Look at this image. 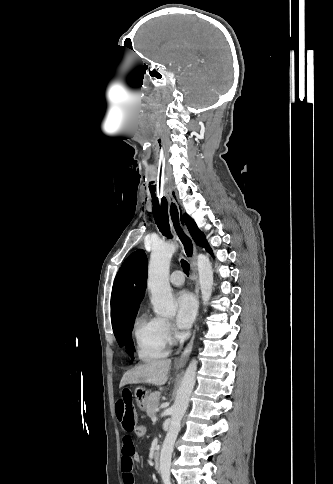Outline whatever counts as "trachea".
<instances>
[{
  "mask_svg": "<svg viewBox=\"0 0 333 484\" xmlns=\"http://www.w3.org/2000/svg\"><path fill=\"white\" fill-rule=\"evenodd\" d=\"M157 142H158V150L154 156V171L152 173V192L155 197H152V204H153V216L155 219V223L159 228V231L166 237L172 239V234L170 231L169 225V217H168V204L167 199L165 198V182L163 180L165 173H164V166H165V157H166V150L162 148L164 142V133L158 132L157 133ZM182 268L184 273L189 276L190 266L186 260H181Z\"/></svg>",
  "mask_w": 333,
  "mask_h": 484,
  "instance_id": "1",
  "label": "trachea"
}]
</instances>
